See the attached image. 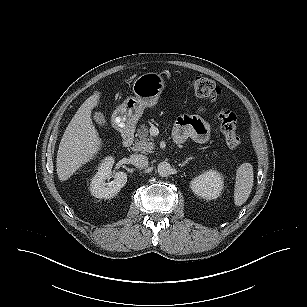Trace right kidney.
Returning a JSON list of instances; mask_svg holds the SVG:
<instances>
[{
    "label": "right kidney",
    "instance_id": "1",
    "mask_svg": "<svg viewBox=\"0 0 307 307\" xmlns=\"http://www.w3.org/2000/svg\"><path fill=\"white\" fill-rule=\"evenodd\" d=\"M114 164L113 157H106L99 165L98 172L91 180L90 191L91 194L96 198L109 199L123 188L127 182V174L122 171L113 173L111 171ZM114 178L111 182H106V180Z\"/></svg>",
    "mask_w": 307,
    "mask_h": 307
}]
</instances>
